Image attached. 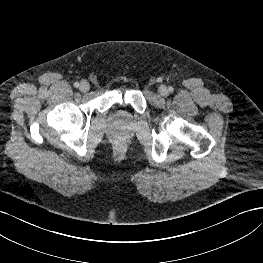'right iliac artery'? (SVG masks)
<instances>
[{
    "label": "right iliac artery",
    "instance_id": "1",
    "mask_svg": "<svg viewBox=\"0 0 263 263\" xmlns=\"http://www.w3.org/2000/svg\"><path fill=\"white\" fill-rule=\"evenodd\" d=\"M79 85H80V84H79L78 82H75V83H74V87H76V88H78Z\"/></svg>",
    "mask_w": 263,
    "mask_h": 263
}]
</instances>
